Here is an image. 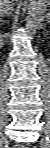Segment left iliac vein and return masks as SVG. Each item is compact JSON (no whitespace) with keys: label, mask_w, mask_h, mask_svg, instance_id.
I'll list each match as a JSON object with an SVG mask.
<instances>
[{"label":"left iliac vein","mask_w":50,"mask_h":148,"mask_svg":"<svg viewBox=\"0 0 50 148\" xmlns=\"http://www.w3.org/2000/svg\"><path fill=\"white\" fill-rule=\"evenodd\" d=\"M43 129H48V126L47 125H43Z\"/></svg>","instance_id":"obj_1"}]
</instances>
